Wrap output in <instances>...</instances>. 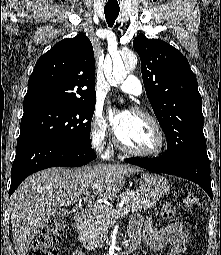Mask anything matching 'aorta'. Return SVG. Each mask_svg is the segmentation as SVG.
I'll use <instances>...</instances> for the list:
<instances>
[{"instance_id":"1","label":"aorta","mask_w":221,"mask_h":255,"mask_svg":"<svg viewBox=\"0 0 221 255\" xmlns=\"http://www.w3.org/2000/svg\"><path fill=\"white\" fill-rule=\"evenodd\" d=\"M113 65L104 68L107 80L111 85L121 84L127 76V71L133 70L137 64V57L133 52L117 55L112 58Z\"/></svg>"}]
</instances>
